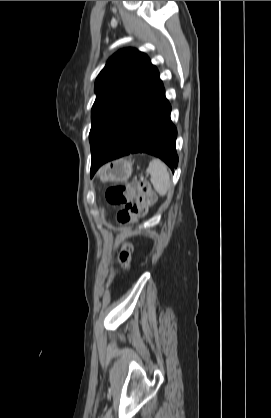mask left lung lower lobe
I'll return each instance as SVG.
<instances>
[{"label": "left lung lower lobe", "instance_id": "left-lung-lower-lobe-1", "mask_svg": "<svg viewBox=\"0 0 271 418\" xmlns=\"http://www.w3.org/2000/svg\"><path fill=\"white\" fill-rule=\"evenodd\" d=\"M170 112L163 83L158 79L92 157L91 176L104 163L133 153L159 157L174 171L178 164L177 130Z\"/></svg>", "mask_w": 271, "mask_h": 418}]
</instances>
